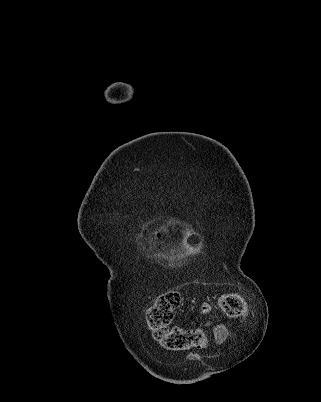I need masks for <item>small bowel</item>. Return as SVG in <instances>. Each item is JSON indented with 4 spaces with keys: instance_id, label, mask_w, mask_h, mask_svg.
Returning a JSON list of instances; mask_svg holds the SVG:
<instances>
[{
    "instance_id": "small-bowel-1",
    "label": "small bowel",
    "mask_w": 321,
    "mask_h": 402,
    "mask_svg": "<svg viewBox=\"0 0 321 402\" xmlns=\"http://www.w3.org/2000/svg\"><path fill=\"white\" fill-rule=\"evenodd\" d=\"M213 311V307L209 302H203L199 305L197 312L199 314H210ZM207 326L211 329V332L215 339L222 343L233 336V331L230 330L224 323L221 322H208Z\"/></svg>"
}]
</instances>
